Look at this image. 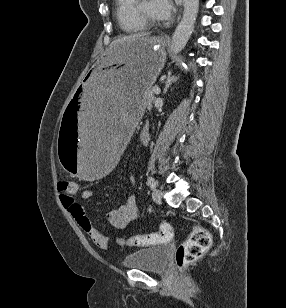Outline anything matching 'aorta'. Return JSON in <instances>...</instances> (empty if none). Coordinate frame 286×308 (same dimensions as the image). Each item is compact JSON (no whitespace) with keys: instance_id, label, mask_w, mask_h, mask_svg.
<instances>
[{"instance_id":"obj_1","label":"aorta","mask_w":286,"mask_h":308,"mask_svg":"<svg viewBox=\"0 0 286 308\" xmlns=\"http://www.w3.org/2000/svg\"><path fill=\"white\" fill-rule=\"evenodd\" d=\"M183 16L176 27L171 41L170 51L177 54L187 44L199 11V0H183Z\"/></svg>"}]
</instances>
